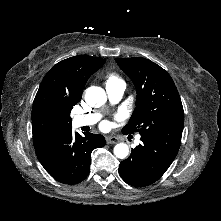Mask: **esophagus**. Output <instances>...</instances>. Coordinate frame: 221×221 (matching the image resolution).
<instances>
[{"label": "esophagus", "instance_id": "1", "mask_svg": "<svg viewBox=\"0 0 221 221\" xmlns=\"http://www.w3.org/2000/svg\"><path fill=\"white\" fill-rule=\"evenodd\" d=\"M119 140L116 137H112V136H107L106 137V143L107 144H115L117 143Z\"/></svg>", "mask_w": 221, "mask_h": 221}]
</instances>
